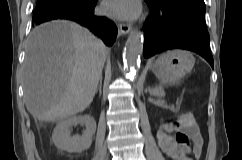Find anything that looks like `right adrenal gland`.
Instances as JSON below:
<instances>
[{
	"label": "right adrenal gland",
	"instance_id": "obj_1",
	"mask_svg": "<svg viewBox=\"0 0 242 160\" xmlns=\"http://www.w3.org/2000/svg\"><path fill=\"white\" fill-rule=\"evenodd\" d=\"M97 91H99L100 95L102 94V77L99 80V86H98V88L96 90V93H97Z\"/></svg>",
	"mask_w": 242,
	"mask_h": 160
}]
</instances>
